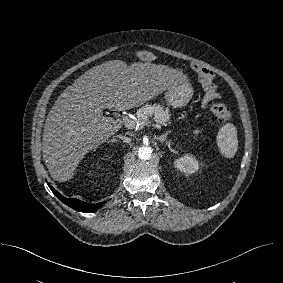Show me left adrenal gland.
I'll return each instance as SVG.
<instances>
[{"mask_svg":"<svg viewBox=\"0 0 283 283\" xmlns=\"http://www.w3.org/2000/svg\"><path fill=\"white\" fill-rule=\"evenodd\" d=\"M169 133H171V132L168 131V132H166V133H164V134H162V135L156 137V139H157L158 141H160V142H164V141L166 140V138H167V136H168Z\"/></svg>","mask_w":283,"mask_h":283,"instance_id":"a2214340","label":"left adrenal gland"}]
</instances>
